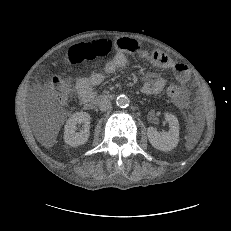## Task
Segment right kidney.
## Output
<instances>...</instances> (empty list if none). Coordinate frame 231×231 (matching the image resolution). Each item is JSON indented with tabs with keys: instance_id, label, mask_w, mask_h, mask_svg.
Returning a JSON list of instances; mask_svg holds the SVG:
<instances>
[{
	"instance_id": "right-kidney-1",
	"label": "right kidney",
	"mask_w": 231,
	"mask_h": 231,
	"mask_svg": "<svg viewBox=\"0 0 231 231\" xmlns=\"http://www.w3.org/2000/svg\"><path fill=\"white\" fill-rule=\"evenodd\" d=\"M90 115L87 112H76L66 122L64 131V141L72 146L77 147L87 142L90 136ZM82 124L80 132H76V125Z\"/></svg>"
}]
</instances>
